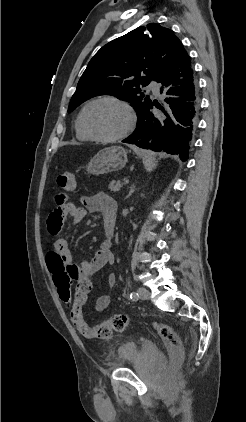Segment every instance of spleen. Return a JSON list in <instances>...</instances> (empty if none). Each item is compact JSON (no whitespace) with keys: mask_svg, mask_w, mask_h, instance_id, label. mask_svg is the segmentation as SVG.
Segmentation results:
<instances>
[{"mask_svg":"<svg viewBox=\"0 0 246 422\" xmlns=\"http://www.w3.org/2000/svg\"><path fill=\"white\" fill-rule=\"evenodd\" d=\"M155 158L153 153L144 151L143 152V163L147 171H152L155 167Z\"/></svg>","mask_w":246,"mask_h":422,"instance_id":"1","label":"spleen"}]
</instances>
